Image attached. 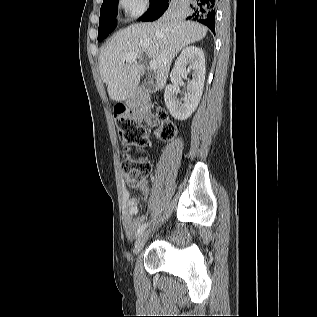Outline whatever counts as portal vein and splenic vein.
<instances>
[{"instance_id":"obj_1","label":"portal vein and splenic vein","mask_w":317,"mask_h":317,"mask_svg":"<svg viewBox=\"0 0 317 317\" xmlns=\"http://www.w3.org/2000/svg\"><path fill=\"white\" fill-rule=\"evenodd\" d=\"M136 59H140V60H143L142 56L138 55L137 53L135 52H130L128 54H126L123 58L124 61L126 62H133L135 61ZM148 68L150 70H156L157 69V62L155 60H151L149 62V65H148Z\"/></svg>"}]
</instances>
